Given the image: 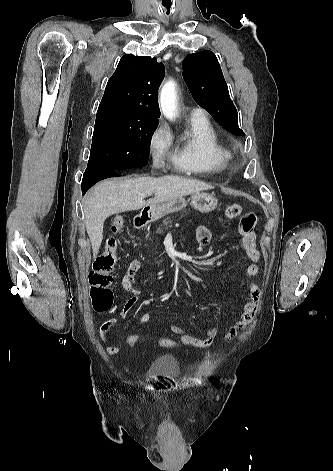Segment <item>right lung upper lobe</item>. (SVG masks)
<instances>
[{"mask_svg": "<svg viewBox=\"0 0 333 471\" xmlns=\"http://www.w3.org/2000/svg\"><path fill=\"white\" fill-rule=\"evenodd\" d=\"M164 65L156 58L124 55L108 80L97 117L119 116L139 121H159L158 88Z\"/></svg>", "mask_w": 333, "mask_h": 471, "instance_id": "obj_1", "label": "right lung upper lobe"}]
</instances>
